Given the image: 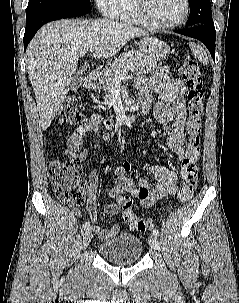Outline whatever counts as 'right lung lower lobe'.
<instances>
[{"label":"right lung lower lobe","mask_w":239,"mask_h":303,"mask_svg":"<svg viewBox=\"0 0 239 303\" xmlns=\"http://www.w3.org/2000/svg\"><path fill=\"white\" fill-rule=\"evenodd\" d=\"M90 7H46L26 13V29L24 34V50L28 43L34 37L38 29L45 23L75 16H81L89 13Z\"/></svg>","instance_id":"obj_1"}]
</instances>
